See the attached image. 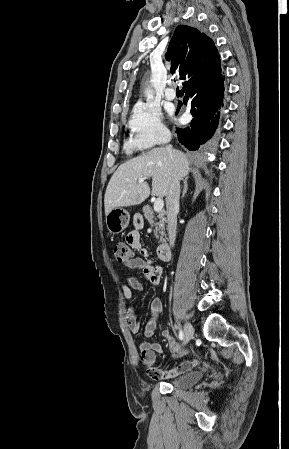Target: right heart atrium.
<instances>
[{
  "label": "right heart atrium",
  "mask_w": 289,
  "mask_h": 449,
  "mask_svg": "<svg viewBox=\"0 0 289 449\" xmlns=\"http://www.w3.org/2000/svg\"><path fill=\"white\" fill-rule=\"evenodd\" d=\"M128 126L129 144L136 149H149L166 142L169 138V131L162 121L160 112L143 103L133 108Z\"/></svg>",
  "instance_id": "d8ad5b80"
}]
</instances>
